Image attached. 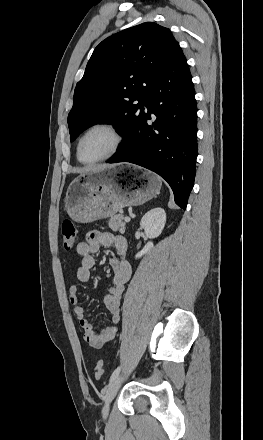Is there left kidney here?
<instances>
[{"mask_svg": "<svg viewBox=\"0 0 263 440\" xmlns=\"http://www.w3.org/2000/svg\"><path fill=\"white\" fill-rule=\"evenodd\" d=\"M165 223L166 213L164 209L157 207L151 209L142 217L140 227L144 229V232L149 239H154L162 233ZM153 246V242L149 241L144 248L136 254L135 258H141L143 255L149 253Z\"/></svg>", "mask_w": 263, "mask_h": 440, "instance_id": "1", "label": "left kidney"}]
</instances>
